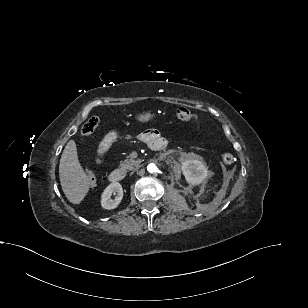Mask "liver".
Segmentation results:
<instances>
[{"mask_svg": "<svg viewBox=\"0 0 308 308\" xmlns=\"http://www.w3.org/2000/svg\"><path fill=\"white\" fill-rule=\"evenodd\" d=\"M59 177L66 198L73 204H79L89 191L90 180L78 160L74 140H70L63 150Z\"/></svg>", "mask_w": 308, "mask_h": 308, "instance_id": "obj_1", "label": "liver"}]
</instances>
